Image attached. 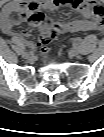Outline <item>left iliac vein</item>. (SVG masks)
<instances>
[{"instance_id":"obj_1","label":"left iliac vein","mask_w":104,"mask_h":137,"mask_svg":"<svg viewBox=\"0 0 104 137\" xmlns=\"http://www.w3.org/2000/svg\"><path fill=\"white\" fill-rule=\"evenodd\" d=\"M70 52L72 56H77L80 54V50L77 47H73Z\"/></svg>"}]
</instances>
